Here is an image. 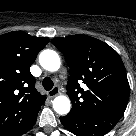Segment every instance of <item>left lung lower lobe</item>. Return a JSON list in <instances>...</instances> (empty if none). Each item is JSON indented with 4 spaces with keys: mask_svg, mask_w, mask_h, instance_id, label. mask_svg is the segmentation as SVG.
<instances>
[{
    "mask_svg": "<svg viewBox=\"0 0 136 136\" xmlns=\"http://www.w3.org/2000/svg\"><path fill=\"white\" fill-rule=\"evenodd\" d=\"M62 124L77 136H102L108 133L119 118L86 113H69L60 117Z\"/></svg>",
    "mask_w": 136,
    "mask_h": 136,
    "instance_id": "0a47b994",
    "label": "left lung lower lobe"
}]
</instances>
